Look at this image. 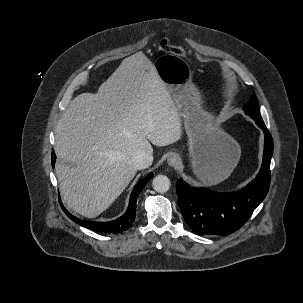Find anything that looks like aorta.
Here are the masks:
<instances>
[{"label":"aorta","instance_id":"obj_1","mask_svg":"<svg viewBox=\"0 0 303 303\" xmlns=\"http://www.w3.org/2000/svg\"><path fill=\"white\" fill-rule=\"evenodd\" d=\"M152 186L156 192L164 193L170 188V180L165 175H157L152 181Z\"/></svg>","mask_w":303,"mask_h":303}]
</instances>
